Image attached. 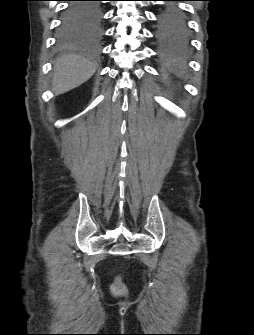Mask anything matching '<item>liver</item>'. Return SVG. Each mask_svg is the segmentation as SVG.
I'll list each match as a JSON object with an SVG mask.
<instances>
[{
	"instance_id": "obj_1",
	"label": "liver",
	"mask_w": 254,
	"mask_h": 335,
	"mask_svg": "<svg viewBox=\"0 0 254 335\" xmlns=\"http://www.w3.org/2000/svg\"><path fill=\"white\" fill-rule=\"evenodd\" d=\"M95 70L93 63L79 55L58 58L54 64L52 89L57 95L66 93L90 79Z\"/></svg>"
}]
</instances>
